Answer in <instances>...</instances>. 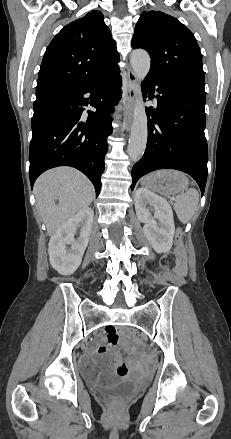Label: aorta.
I'll return each mask as SVG.
<instances>
[{
    "label": "aorta",
    "instance_id": "1",
    "mask_svg": "<svg viewBox=\"0 0 231 439\" xmlns=\"http://www.w3.org/2000/svg\"><path fill=\"white\" fill-rule=\"evenodd\" d=\"M130 62L136 77L142 81L150 70V56L144 50H134ZM147 115L140 95L135 102L133 111V124L128 144V154L133 161H138L143 155L147 144Z\"/></svg>",
    "mask_w": 231,
    "mask_h": 439
}]
</instances>
